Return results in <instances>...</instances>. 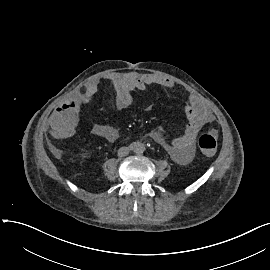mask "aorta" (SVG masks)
<instances>
[{"instance_id":"aorta-1","label":"aorta","mask_w":270,"mask_h":270,"mask_svg":"<svg viewBox=\"0 0 270 270\" xmlns=\"http://www.w3.org/2000/svg\"><path fill=\"white\" fill-rule=\"evenodd\" d=\"M132 149L135 153L139 154L145 151V145L141 142H133Z\"/></svg>"}]
</instances>
